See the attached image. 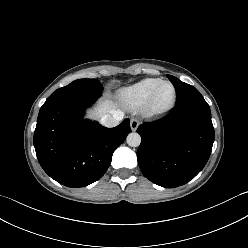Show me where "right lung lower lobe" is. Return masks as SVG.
I'll return each instance as SVG.
<instances>
[{"label":"right lung lower lobe","instance_id":"obj_1","mask_svg":"<svg viewBox=\"0 0 248 248\" xmlns=\"http://www.w3.org/2000/svg\"><path fill=\"white\" fill-rule=\"evenodd\" d=\"M101 93L62 91L53 93L39 111L34 147L41 167L68 187H84L100 179L113 152L131 132L129 119L106 128L83 114Z\"/></svg>","mask_w":248,"mask_h":248}]
</instances>
